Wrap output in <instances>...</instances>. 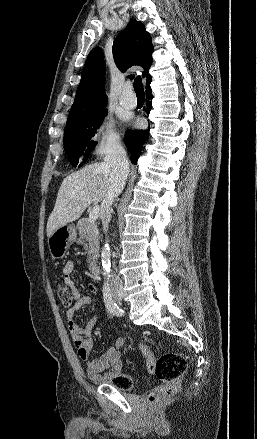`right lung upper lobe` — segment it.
<instances>
[{
  "label": "right lung upper lobe",
  "mask_w": 257,
  "mask_h": 439,
  "mask_svg": "<svg viewBox=\"0 0 257 439\" xmlns=\"http://www.w3.org/2000/svg\"><path fill=\"white\" fill-rule=\"evenodd\" d=\"M153 45L151 36L140 21L131 20L128 27L120 33L113 43V57L116 66L122 72L133 65L144 68L142 74L146 81L151 79L148 70L152 63ZM105 61L100 47L92 49L85 62L81 81L76 91L74 103L68 120L97 112L106 107L107 97L104 91Z\"/></svg>",
  "instance_id": "1"
}]
</instances>
